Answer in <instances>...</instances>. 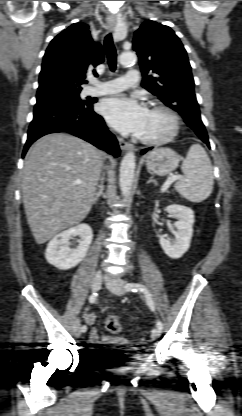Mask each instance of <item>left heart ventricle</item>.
Returning a JSON list of instances; mask_svg holds the SVG:
<instances>
[{"mask_svg":"<svg viewBox=\"0 0 242 416\" xmlns=\"http://www.w3.org/2000/svg\"><path fill=\"white\" fill-rule=\"evenodd\" d=\"M170 127V119L167 114L158 110L147 111L145 121L138 135L141 138L153 139L165 135Z\"/></svg>","mask_w":242,"mask_h":416,"instance_id":"1","label":"left heart ventricle"}]
</instances>
